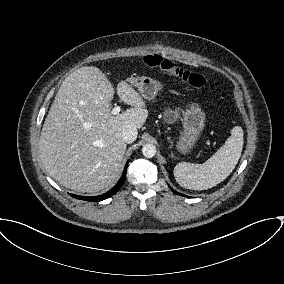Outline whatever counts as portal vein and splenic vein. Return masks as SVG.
Listing matches in <instances>:
<instances>
[{"mask_svg": "<svg viewBox=\"0 0 284 284\" xmlns=\"http://www.w3.org/2000/svg\"><path fill=\"white\" fill-rule=\"evenodd\" d=\"M120 111H121L120 106H115V107L112 109L111 113H112L113 115H117V114H119Z\"/></svg>", "mask_w": 284, "mask_h": 284, "instance_id": "1", "label": "portal vein and splenic vein"}]
</instances>
